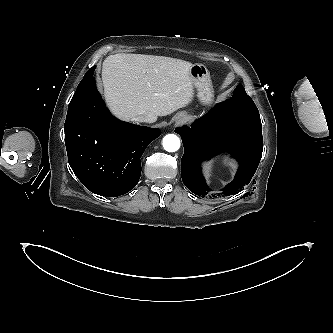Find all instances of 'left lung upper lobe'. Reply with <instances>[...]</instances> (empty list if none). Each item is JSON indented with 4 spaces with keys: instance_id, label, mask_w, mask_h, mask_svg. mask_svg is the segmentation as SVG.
<instances>
[{
    "instance_id": "1",
    "label": "left lung upper lobe",
    "mask_w": 333,
    "mask_h": 333,
    "mask_svg": "<svg viewBox=\"0 0 333 333\" xmlns=\"http://www.w3.org/2000/svg\"><path fill=\"white\" fill-rule=\"evenodd\" d=\"M234 97L240 101L254 103L252 99L246 94L243 86L239 84L234 90Z\"/></svg>"
}]
</instances>
